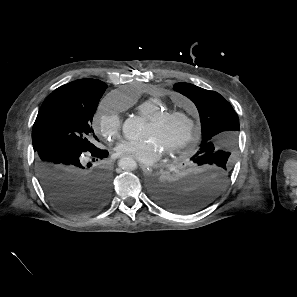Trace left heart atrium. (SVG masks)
<instances>
[{
    "instance_id": "1",
    "label": "left heart atrium",
    "mask_w": 297,
    "mask_h": 297,
    "mask_svg": "<svg viewBox=\"0 0 297 297\" xmlns=\"http://www.w3.org/2000/svg\"><path fill=\"white\" fill-rule=\"evenodd\" d=\"M115 151L118 155L129 156L148 165L158 161L164 152L157 140L152 137L139 141L123 140L117 144Z\"/></svg>"
}]
</instances>
